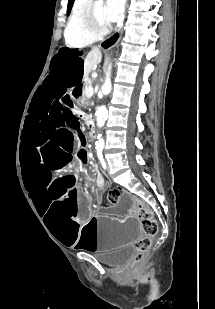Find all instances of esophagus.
<instances>
[{
    "mask_svg": "<svg viewBox=\"0 0 215 309\" xmlns=\"http://www.w3.org/2000/svg\"><path fill=\"white\" fill-rule=\"evenodd\" d=\"M123 33L122 25L116 30V32L111 35V37L106 38L103 42H101L100 47L103 50H109L114 47L121 39Z\"/></svg>",
    "mask_w": 215,
    "mask_h": 309,
    "instance_id": "obj_1",
    "label": "esophagus"
}]
</instances>
